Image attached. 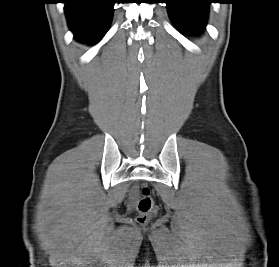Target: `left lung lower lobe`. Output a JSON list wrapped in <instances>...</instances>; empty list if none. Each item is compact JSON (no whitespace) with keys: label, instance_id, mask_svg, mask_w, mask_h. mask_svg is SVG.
Wrapping results in <instances>:
<instances>
[{"label":"left lung lower lobe","instance_id":"0a47b994","mask_svg":"<svg viewBox=\"0 0 279 267\" xmlns=\"http://www.w3.org/2000/svg\"><path fill=\"white\" fill-rule=\"evenodd\" d=\"M211 0H166L171 19L183 31L199 33L206 23Z\"/></svg>","mask_w":279,"mask_h":267}]
</instances>
